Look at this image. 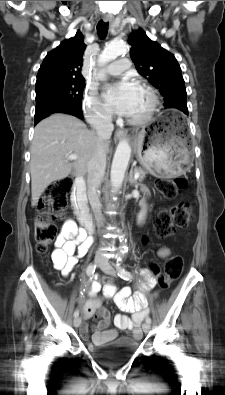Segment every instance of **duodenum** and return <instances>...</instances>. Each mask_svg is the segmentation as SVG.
<instances>
[{
    "instance_id": "410a0bca",
    "label": "duodenum",
    "mask_w": 225,
    "mask_h": 395,
    "mask_svg": "<svg viewBox=\"0 0 225 395\" xmlns=\"http://www.w3.org/2000/svg\"><path fill=\"white\" fill-rule=\"evenodd\" d=\"M71 201L80 224L87 233L91 234L94 231V224L86 203V184L82 176L75 179Z\"/></svg>"
}]
</instances>
